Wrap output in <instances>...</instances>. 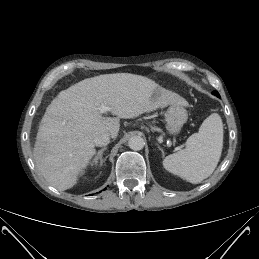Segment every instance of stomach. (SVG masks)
<instances>
[{
  "label": "stomach",
  "mask_w": 259,
  "mask_h": 259,
  "mask_svg": "<svg viewBox=\"0 0 259 259\" xmlns=\"http://www.w3.org/2000/svg\"><path fill=\"white\" fill-rule=\"evenodd\" d=\"M187 118L188 114L183 106L172 104L165 114L167 132L170 135L179 134Z\"/></svg>",
  "instance_id": "obj_1"
}]
</instances>
